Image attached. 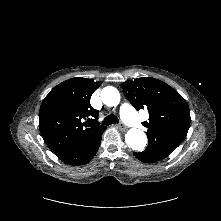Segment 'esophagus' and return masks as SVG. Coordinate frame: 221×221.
<instances>
[{"instance_id":"34e87169","label":"esophagus","mask_w":221,"mask_h":221,"mask_svg":"<svg viewBox=\"0 0 221 221\" xmlns=\"http://www.w3.org/2000/svg\"><path fill=\"white\" fill-rule=\"evenodd\" d=\"M121 131H126L127 130V127L124 125V124H119L117 126Z\"/></svg>"}]
</instances>
